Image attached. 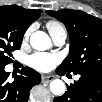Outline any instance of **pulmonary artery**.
<instances>
[{
	"mask_svg": "<svg viewBox=\"0 0 102 102\" xmlns=\"http://www.w3.org/2000/svg\"><path fill=\"white\" fill-rule=\"evenodd\" d=\"M51 36H52V39H53L54 43L57 46H62L65 43L66 38H67V34L65 32H61V33L54 34V35H51Z\"/></svg>",
	"mask_w": 102,
	"mask_h": 102,
	"instance_id": "1",
	"label": "pulmonary artery"
}]
</instances>
